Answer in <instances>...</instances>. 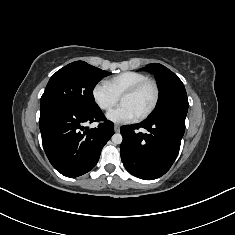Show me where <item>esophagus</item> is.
I'll use <instances>...</instances> for the list:
<instances>
[{"instance_id":"obj_1","label":"esophagus","mask_w":235,"mask_h":235,"mask_svg":"<svg viewBox=\"0 0 235 235\" xmlns=\"http://www.w3.org/2000/svg\"><path fill=\"white\" fill-rule=\"evenodd\" d=\"M114 130L115 132H119L120 131V126L118 124L114 125Z\"/></svg>"}]
</instances>
